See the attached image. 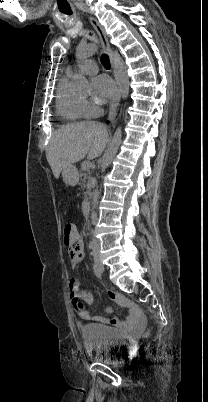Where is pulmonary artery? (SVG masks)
I'll return each instance as SVG.
<instances>
[{
    "mask_svg": "<svg viewBox=\"0 0 208 402\" xmlns=\"http://www.w3.org/2000/svg\"><path fill=\"white\" fill-rule=\"evenodd\" d=\"M81 50L85 51V54L91 55L92 53L86 52L84 46L80 48ZM97 65L91 60H76L74 65H70L67 67V72L73 74L77 71H81L86 74H94L97 71Z\"/></svg>",
    "mask_w": 208,
    "mask_h": 402,
    "instance_id": "1",
    "label": "pulmonary artery"
}]
</instances>
